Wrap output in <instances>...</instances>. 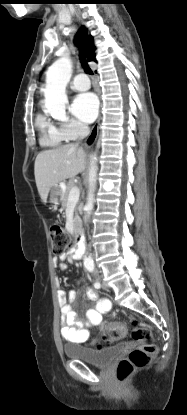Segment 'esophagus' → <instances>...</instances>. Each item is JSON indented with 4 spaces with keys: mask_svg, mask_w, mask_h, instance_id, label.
<instances>
[{
    "mask_svg": "<svg viewBox=\"0 0 187 415\" xmlns=\"http://www.w3.org/2000/svg\"><path fill=\"white\" fill-rule=\"evenodd\" d=\"M100 121H101V113L99 114L96 123L92 127L91 132H90L89 136L86 139V145L89 146V145L93 144L95 142V140L97 139Z\"/></svg>",
    "mask_w": 187,
    "mask_h": 415,
    "instance_id": "1",
    "label": "esophagus"
}]
</instances>
